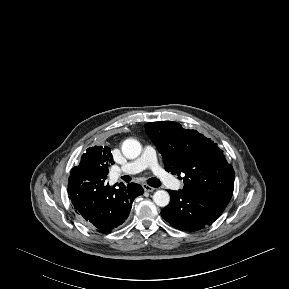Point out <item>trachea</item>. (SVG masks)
Segmentation results:
<instances>
[{"label": "trachea", "instance_id": "obj_1", "mask_svg": "<svg viewBox=\"0 0 289 289\" xmlns=\"http://www.w3.org/2000/svg\"><path fill=\"white\" fill-rule=\"evenodd\" d=\"M123 179L126 182H129L131 180L130 176H123ZM147 183L151 186V187H159L161 185V182L159 179L157 178H150L148 179Z\"/></svg>", "mask_w": 289, "mask_h": 289}]
</instances>
